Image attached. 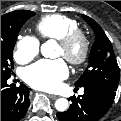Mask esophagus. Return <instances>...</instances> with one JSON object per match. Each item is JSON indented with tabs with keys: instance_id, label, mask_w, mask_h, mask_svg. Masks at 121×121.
I'll use <instances>...</instances> for the list:
<instances>
[{
	"instance_id": "34e87169",
	"label": "esophagus",
	"mask_w": 121,
	"mask_h": 121,
	"mask_svg": "<svg viewBox=\"0 0 121 121\" xmlns=\"http://www.w3.org/2000/svg\"><path fill=\"white\" fill-rule=\"evenodd\" d=\"M48 97H49L50 99H53V100H55V99L58 98V96H56V95H48Z\"/></svg>"
}]
</instances>
